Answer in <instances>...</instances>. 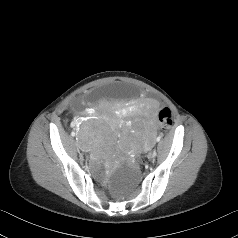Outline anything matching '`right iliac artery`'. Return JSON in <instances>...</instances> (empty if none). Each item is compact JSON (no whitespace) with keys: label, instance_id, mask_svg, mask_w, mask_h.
Masks as SVG:
<instances>
[{"label":"right iliac artery","instance_id":"obj_1","mask_svg":"<svg viewBox=\"0 0 238 238\" xmlns=\"http://www.w3.org/2000/svg\"><path fill=\"white\" fill-rule=\"evenodd\" d=\"M71 135H72V136H75V132H74V131H72V132H71Z\"/></svg>","mask_w":238,"mask_h":238}]
</instances>
